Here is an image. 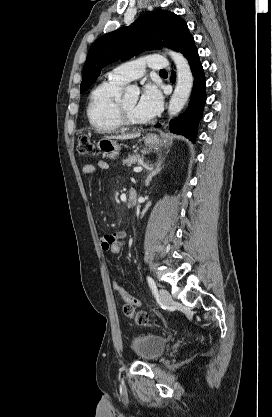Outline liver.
Masks as SVG:
<instances>
[{
    "mask_svg": "<svg viewBox=\"0 0 272 417\" xmlns=\"http://www.w3.org/2000/svg\"><path fill=\"white\" fill-rule=\"evenodd\" d=\"M140 136V133L130 134V135H117V136H107V139H119V140H127V139H134Z\"/></svg>",
    "mask_w": 272,
    "mask_h": 417,
    "instance_id": "1",
    "label": "liver"
}]
</instances>
